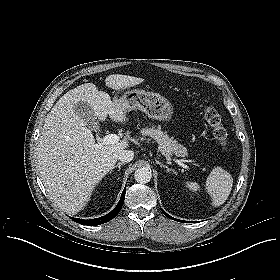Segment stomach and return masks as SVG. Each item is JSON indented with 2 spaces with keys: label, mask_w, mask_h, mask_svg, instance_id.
Wrapping results in <instances>:
<instances>
[{
  "label": "stomach",
  "mask_w": 280,
  "mask_h": 280,
  "mask_svg": "<svg viewBox=\"0 0 280 280\" xmlns=\"http://www.w3.org/2000/svg\"><path fill=\"white\" fill-rule=\"evenodd\" d=\"M120 101L127 105L128 111L138 109L159 121H169L173 114L171 103L158 93L134 89L125 92Z\"/></svg>",
  "instance_id": "1"
}]
</instances>
